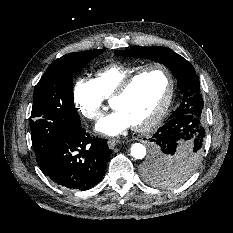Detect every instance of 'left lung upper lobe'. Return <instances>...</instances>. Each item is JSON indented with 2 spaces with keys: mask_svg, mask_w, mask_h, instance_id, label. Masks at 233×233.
<instances>
[{
  "mask_svg": "<svg viewBox=\"0 0 233 233\" xmlns=\"http://www.w3.org/2000/svg\"><path fill=\"white\" fill-rule=\"evenodd\" d=\"M115 54L124 57L146 58L167 66L177 79V86L183 93L181 104L168 120L176 119L187 121V123H191L193 120L200 121L204 105L200 94V83L193 66L186 59L171 49L159 46L116 50ZM199 159L187 157L178 161L165 160L162 166L168 172L174 174L178 181H182L193 172ZM145 177L156 181V179H153L154 176Z\"/></svg>",
  "mask_w": 233,
  "mask_h": 233,
  "instance_id": "obj_1",
  "label": "left lung upper lobe"
}]
</instances>
